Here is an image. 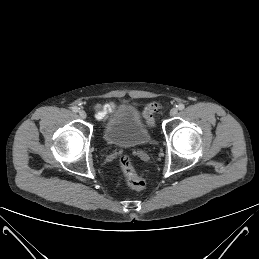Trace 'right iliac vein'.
I'll return each instance as SVG.
<instances>
[{"label":"right iliac vein","instance_id":"right-iliac-vein-1","mask_svg":"<svg viewBox=\"0 0 259 259\" xmlns=\"http://www.w3.org/2000/svg\"><path fill=\"white\" fill-rule=\"evenodd\" d=\"M79 116H80V118L85 119L87 117V114H86V112L84 110H80L79 111Z\"/></svg>","mask_w":259,"mask_h":259}]
</instances>
